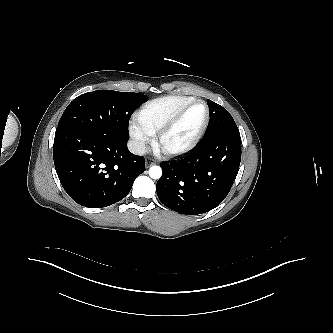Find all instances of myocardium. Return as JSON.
Instances as JSON below:
<instances>
[{"instance_id": "1", "label": "myocardium", "mask_w": 333, "mask_h": 333, "mask_svg": "<svg viewBox=\"0 0 333 333\" xmlns=\"http://www.w3.org/2000/svg\"><path fill=\"white\" fill-rule=\"evenodd\" d=\"M202 104L206 109L205 119L198 129V131L193 135V137L183 146L177 148H166L163 146L164 138L177 126L180 120L183 118L185 113L194 105ZM210 122V108L207 103L201 99H194L189 103L182 106L155 134L154 147L156 151L164 157L172 158L184 155L190 152L196 147L199 141L204 136L207 127Z\"/></svg>"}]
</instances>
